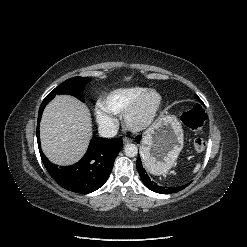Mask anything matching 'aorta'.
<instances>
[{"instance_id": "1", "label": "aorta", "mask_w": 247, "mask_h": 247, "mask_svg": "<svg viewBox=\"0 0 247 247\" xmlns=\"http://www.w3.org/2000/svg\"><path fill=\"white\" fill-rule=\"evenodd\" d=\"M124 153L128 157H135L138 153V148L135 144H126V146L124 147Z\"/></svg>"}]
</instances>
